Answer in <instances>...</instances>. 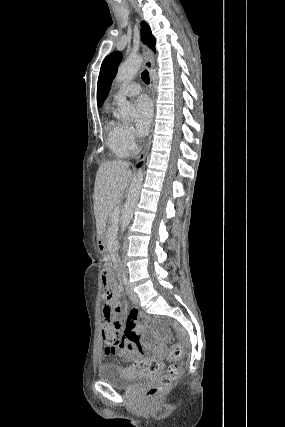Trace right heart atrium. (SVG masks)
Segmentation results:
<instances>
[{"label": "right heart atrium", "instance_id": "right-heart-atrium-1", "mask_svg": "<svg viewBox=\"0 0 285 427\" xmlns=\"http://www.w3.org/2000/svg\"><path fill=\"white\" fill-rule=\"evenodd\" d=\"M123 139L125 144L131 149L136 148L137 136L134 129L129 125L123 126Z\"/></svg>", "mask_w": 285, "mask_h": 427}]
</instances>
